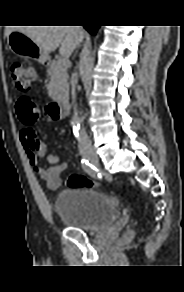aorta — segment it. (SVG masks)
I'll list each match as a JSON object with an SVG mask.
<instances>
[{
    "mask_svg": "<svg viewBox=\"0 0 184 292\" xmlns=\"http://www.w3.org/2000/svg\"><path fill=\"white\" fill-rule=\"evenodd\" d=\"M88 54H89V52L87 51L86 53H85V57L87 58L88 57ZM78 117V114H77V111H76V108H75V110H74V115H73V117H72V120H73V122H74V129H75V131H78L79 130V127H80V124L77 122V120H76V118Z\"/></svg>",
    "mask_w": 184,
    "mask_h": 292,
    "instance_id": "762f6f07",
    "label": "aorta"
}]
</instances>
